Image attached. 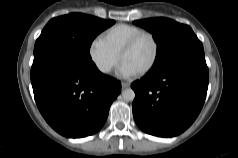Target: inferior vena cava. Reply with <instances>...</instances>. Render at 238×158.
<instances>
[{
  "mask_svg": "<svg viewBox=\"0 0 238 158\" xmlns=\"http://www.w3.org/2000/svg\"><path fill=\"white\" fill-rule=\"evenodd\" d=\"M100 70L102 72H108L110 70V66L109 65H102V66H100Z\"/></svg>",
  "mask_w": 238,
  "mask_h": 158,
  "instance_id": "1",
  "label": "inferior vena cava"
}]
</instances>
